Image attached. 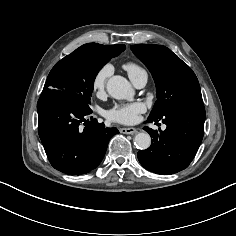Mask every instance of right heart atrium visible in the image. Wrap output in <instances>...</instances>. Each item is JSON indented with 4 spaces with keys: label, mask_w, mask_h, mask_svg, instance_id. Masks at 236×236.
Here are the masks:
<instances>
[{
    "label": "right heart atrium",
    "mask_w": 236,
    "mask_h": 236,
    "mask_svg": "<svg viewBox=\"0 0 236 236\" xmlns=\"http://www.w3.org/2000/svg\"><path fill=\"white\" fill-rule=\"evenodd\" d=\"M113 72L111 64L107 63L101 66L92 78V90L95 93H102L105 88L109 77Z\"/></svg>",
    "instance_id": "d8ad5b80"
}]
</instances>
